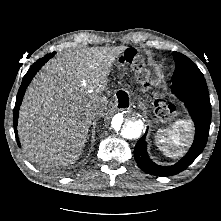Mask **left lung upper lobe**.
Returning <instances> with one entry per match:
<instances>
[{
	"mask_svg": "<svg viewBox=\"0 0 221 221\" xmlns=\"http://www.w3.org/2000/svg\"><path fill=\"white\" fill-rule=\"evenodd\" d=\"M173 57L175 61V71L172 76V81L204 77L199 68L185 55L179 52H173Z\"/></svg>",
	"mask_w": 221,
	"mask_h": 221,
	"instance_id": "5c2ea615",
	"label": "left lung upper lobe"
}]
</instances>
